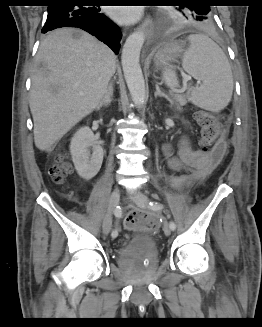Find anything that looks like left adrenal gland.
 I'll use <instances>...</instances> for the list:
<instances>
[{"mask_svg":"<svg viewBox=\"0 0 262 327\" xmlns=\"http://www.w3.org/2000/svg\"><path fill=\"white\" fill-rule=\"evenodd\" d=\"M154 95H155V98L164 97L172 104V100L160 90L158 83L156 84V92Z\"/></svg>","mask_w":262,"mask_h":327,"instance_id":"left-adrenal-gland-1","label":"left adrenal gland"}]
</instances>
